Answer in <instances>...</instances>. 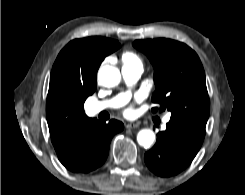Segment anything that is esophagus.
<instances>
[{
	"label": "esophagus",
	"instance_id": "34e87169",
	"mask_svg": "<svg viewBox=\"0 0 245 195\" xmlns=\"http://www.w3.org/2000/svg\"><path fill=\"white\" fill-rule=\"evenodd\" d=\"M139 127V123H128L126 124V128L128 129H134V128H138Z\"/></svg>",
	"mask_w": 245,
	"mask_h": 195
}]
</instances>
